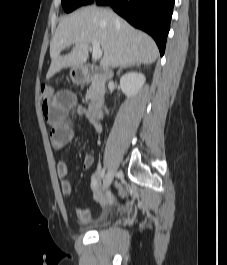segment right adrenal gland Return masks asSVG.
I'll return each mask as SVG.
<instances>
[{
	"label": "right adrenal gland",
	"instance_id": "1",
	"mask_svg": "<svg viewBox=\"0 0 227 265\" xmlns=\"http://www.w3.org/2000/svg\"><path fill=\"white\" fill-rule=\"evenodd\" d=\"M140 65H141V63H125L119 68L117 73L119 74L122 71V69H124V68L133 67V66H140Z\"/></svg>",
	"mask_w": 227,
	"mask_h": 265
}]
</instances>
